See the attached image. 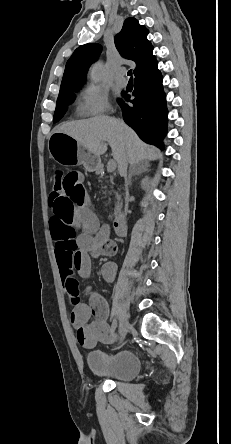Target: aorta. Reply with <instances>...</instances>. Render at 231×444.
Listing matches in <instances>:
<instances>
[{
	"label": "aorta",
	"instance_id": "762f6f07",
	"mask_svg": "<svg viewBox=\"0 0 231 444\" xmlns=\"http://www.w3.org/2000/svg\"><path fill=\"white\" fill-rule=\"evenodd\" d=\"M102 69H103L102 63H97L93 67L92 72H91L92 82L98 83L100 81L101 75H102Z\"/></svg>",
	"mask_w": 231,
	"mask_h": 444
}]
</instances>
